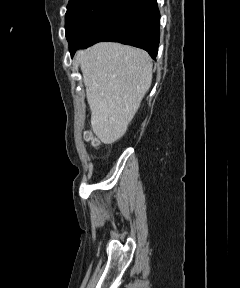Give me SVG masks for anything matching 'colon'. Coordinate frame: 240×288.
Returning <instances> with one entry per match:
<instances>
[{"label":"colon","mask_w":240,"mask_h":288,"mask_svg":"<svg viewBox=\"0 0 240 288\" xmlns=\"http://www.w3.org/2000/svg\"><path fill=\"white\" fill-rule=\"evenodd\" d=\"M86 140L89 141L94 147L99 146V141L93 137H91L89 134L85 136Z\"/></svg>","instance_id":"colon-1"}]
</instances>
